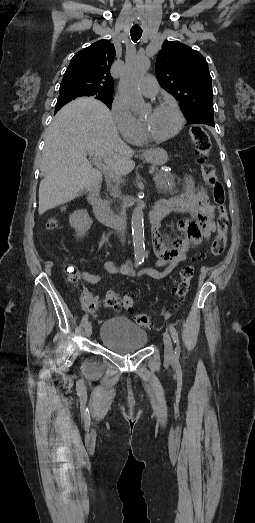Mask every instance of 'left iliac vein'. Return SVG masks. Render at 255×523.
Here are the masks:
<instances>
[{
    "instance_id": "left-iliac-vein-1",
    "label": "left iliac vein",
    "mask_w": 255,
    "mask_h": 523,
    "mask_svg": "<svg viewBox=\"0 0 255 523\" xmlns=\"http://www.w3.org/2000/svg\"><path fill=\"white\" fill-rule=\"evenodd\" d=\"M163 341H164L165 358L167 360H172L174 357V351H173L172 340H171V337L168 332L164 333Z\"/></svg>"
}]
</instances>
